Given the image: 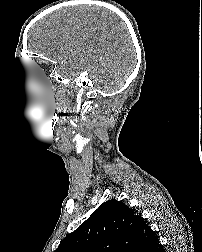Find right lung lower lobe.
Here are the masks:
<instances>
[{
	"label": "right lung lower lobe",
	"mask_w": 202,
	"mask_h": 252,
	"mask_svg": "<svg viewBox=\"0 0 202 252\" xmlns=\"http://www.w3.org/2000/svg\"><path fill=\"white\" fill-rule=\"evenodd\" d=\"M158 252H165L163 246H161V247L159 248Z\"/></svg>",
	"instance_id": "right-lung-lower-lobe-1"
}]
</instances>
